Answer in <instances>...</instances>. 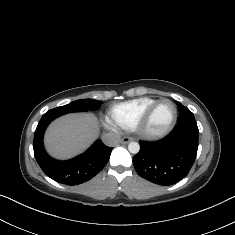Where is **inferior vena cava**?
<instances>
[{
	"label": "inferior vena cava",
	"mask_w": 235,
	"mask_h": 235,
	"mask_svg": "<svg viewBox=\"0 0 235 235\" xmlns=\"http://www.w3.org/2000/svg\"><path fill=\"white\" fill-rule=\"evenodd\" d=\"M120 139V135L113 132L105 133L102 136V141L109 147H116L119 144Z\"/></svg>",
	"instance_id": "inferior-vena-cava-1"
}]
</instances>
